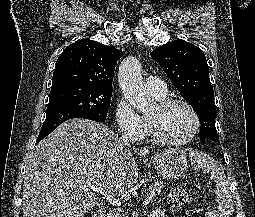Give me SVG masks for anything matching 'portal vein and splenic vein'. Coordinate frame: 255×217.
Instances as JSON below:
<instances>
[{
    "label": "portal vein and splenic vein",
    "mask_w": 255,
    "mask_h": 217,
    "mask_svg": "<svg viewBox=\"0 0 255 217\" xmlns=\"http://www.w3.org/2000/svg\"><path fill=\"white\" fill-rule=\"evenodd\" d=\"M91 190L103 195L108 200V202L110 204L117 206V207L121 206V201L119 199L115 198L110 193H108L104 188H102L100 186L93 185V186H91ZM153 196H154V194L152 191L151 194L144 199L143 204L144 205L149 204L152 201Z\"/></svg>",
    "instance_id": "obj_1"
}]
</instances>
